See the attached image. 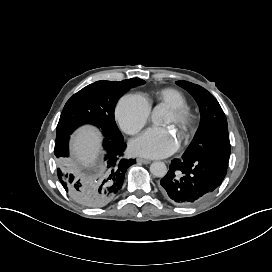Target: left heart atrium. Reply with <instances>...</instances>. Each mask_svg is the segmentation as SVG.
<instances>
[{"label": "left heart atrium", "mask_w": 272, "mask_h": 272, "mask_svg": "<svg viewBox=\"0 0 272 272\" xmlns=\"http://www.w3.org/2000/svg\"><path fill=\"white\" fill-rule=\"evenodd\" d=\"M178 146V140L170 129L152 127L133 143V151L152 157H166Z\"/></svg>", "instance_id": "39dd6f15"}]
</instances>
